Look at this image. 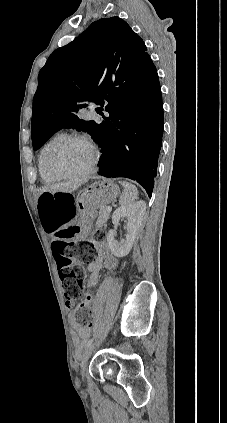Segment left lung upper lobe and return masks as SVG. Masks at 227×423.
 <instances>
[{
	"instance_id": "1",
	"label": "left lung upper lobe",
	"mask_w": 227,
	"mask_h": 423,
	"mask_svg": "<svg viewBox=\"0 0 227 423\" xmlns=\"http://www.w3.org/2000/svg\"><path fill=\"white\" fill-rule=\"evenodd\" d=\"M146 50L144 41L119 17L93 22L55 50L38 75L31 123L34 150L61 128L83 130L96 139L100 124L77 116L90 103L106 105L107 112L132 108L156 70Z\"/></svg>"
}]
</instances>
